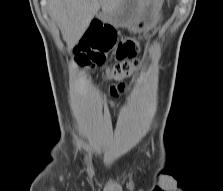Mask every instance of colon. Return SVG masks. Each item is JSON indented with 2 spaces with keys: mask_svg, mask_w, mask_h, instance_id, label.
I'll list each match as a JSON object with an SVG mask.
<instances>
[{
  "mask_svg": "<svg viewBox=\"0 0 223 191\" xmlns=\"http://www.w3.org/2000/svg\"><path fill=\"white\" fill-rule=\"evenodd\" d=\"M112 48H115L117 63L106 69L108 78L121 80L142 66L136 57L135 43L129 39L118 41L115 30L108 25H94L82 37L75 49V61L86 67L102 65L104 53Z\"/></svg>",
  "mask_w": 223,
  "mask_h": 191,
  "instance_id": "5ec220e1",
  "label": "colon"
}]
</instances>
